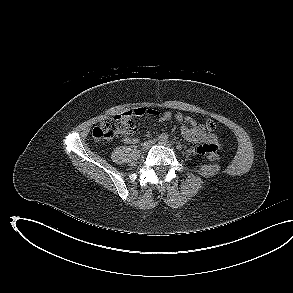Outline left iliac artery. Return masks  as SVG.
I'll use <instances>...</instances> for the list:
<instances>
[{
  "label": "left iliac artery",
  "mask_w": 293,
  "mask_h": 293,
  "mask_svg": "<svg viewBox=\"0 0 293 293\" xmlns=\"http://www.w3.org/2000/svg\"><path fill=\"white\" fill-rule=\"evenodd\" d=\"M176 148H177L178 150H181V149H182V145H181V144H177V145H176Z\"/></svg>",
  "instance_id": "1"
}]
</instances>
